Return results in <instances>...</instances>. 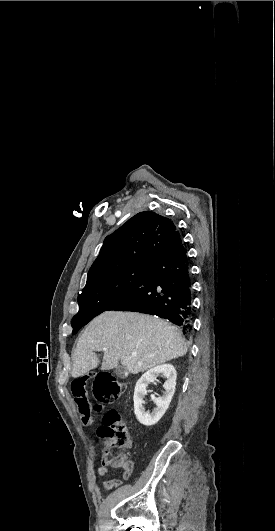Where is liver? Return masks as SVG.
<instances>
[{"instance_id": "obj_1", "label": "liver", "mask_w": 275, "mask_h": 531, "mask_svg": "<svg viewBox=\"0 0 275 531\" xmlns=\"http://www.w3.org/2000/svg\"><path fill=\"white\" fill-rule=\"evenodd\" d=\"M104 351L102 371L121 365L137 375L187 353V343L178 327L163 319L140 313L105 311L93 319L73 353L72 377H82L98 367L94 351ZM132 353H137L132 357Z\"/></svg>"}]
</instances>
